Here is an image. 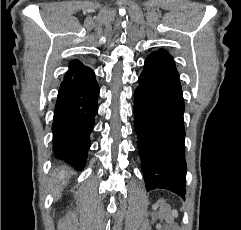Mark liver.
Segmentation results:
<instances>
[{
	"label": "liver",
	"mask_w": 241,
	"mask_h": 230,
	"mask_svg": "<svg viewBox=\"0 0 241 230\" xmlns=\"http://www.w3.org/2000/svg\"><path fill=\"white\" fill-rule=\"evenodd\" d=\"M65 175H66V172L64 170H62L61 172H59L58 177L60 179H63L65 177Z\"/></svg>",
	"instance_id": "1"
}]
</instances>
